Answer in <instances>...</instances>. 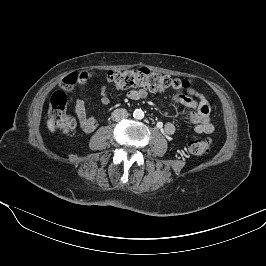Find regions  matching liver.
I'll use <instances>...</instances> for the list:
<instances>
[{"label":"liver","instance_id":"6515ba94","mask_svg":"<svg viewBox=\"0 0 266 266\" xmlns=\"http://www.w3.org/2000/svg\"><path fill=\"white\" fill-rule=\"evenodd\" d=\"M47 127H48V129L51 131V132H55V126H54V124H53V122L51 121V120H48L47 121Z\"/></svg>","mask_w":266,"mask_h":266}]
</instances>
